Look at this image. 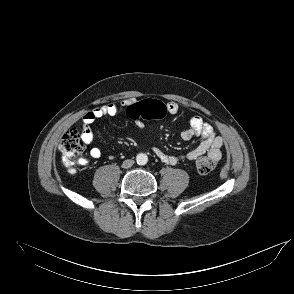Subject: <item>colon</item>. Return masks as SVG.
Returning <instances> with one entry per match:
<instances>
[{"mask_svg": "<svg viewBox=\"0 0 294 294\" xmlns=\"http://www.w3.org/2000/svg\"><path fill=\"white\" fill-rule=\"evenodd\" d=\"M127 115L134 119H161L168 114L165 103L158 100H144L131 103L126 109ZM59 150L62 154V160L71 172H74V166L82 163L81 154L84 151V141L81 132L78 129H72L63 135ZM196 167L200 174L207 175L216 167V160L210 156H203L196 161Z\"/></svg>", "mask_w": 294, "mask_h": 294, "instance_id": "5ec220e1", "label": "colon"}]
</instances>
